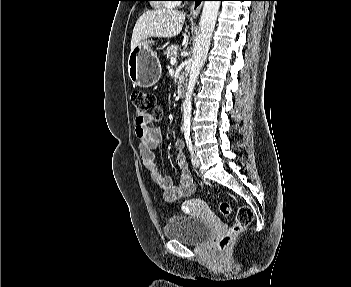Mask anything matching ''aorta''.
I'll list each match as a JSON object with an SVG mask.
<instances>
[{
  "label": "aorta",
  "instance_id": "762f6f07",
  "mask_svg": "<svg viewBox=\"0 0 351 287\" xmlns=\"http://www.w3.org/2000/svg\"><path fill=\"white\" fill-rule=\"evenodd\" d=\"M220 1H205L199 23V32L191 59V70L185 101L183 104L184 129L190 125L192 111V93L196 85L200 70L204 65L210 47L212 33L216 24Z\"/></svg>",
  "mask_w": 351,
  "mask_h": 287
}]
</instances>
